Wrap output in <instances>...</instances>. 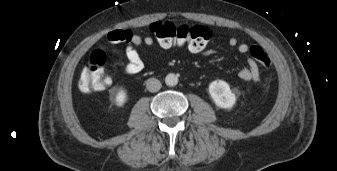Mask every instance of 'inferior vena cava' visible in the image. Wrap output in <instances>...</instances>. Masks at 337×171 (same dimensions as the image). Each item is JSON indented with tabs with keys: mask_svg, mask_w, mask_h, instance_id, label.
<instances>
[{
	"mask_svg": "<svg viewBox=\"0 0 337 171\" xmlns=\"http://www.w3.org/2000/svg\"><path fill=\"white\" fill-rule=\"evenodd\" d=\"M161 82L158 79L150 78L146 81V88L150 92H157L161 89Z\"/></svg>",
	"mask_w": 337,
	"mask_h": 171,
	"instance_id": "1",
	"label": "inferior vena cava"
}]
</instances>
